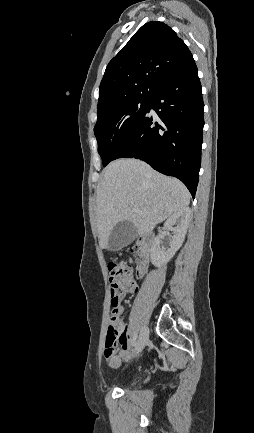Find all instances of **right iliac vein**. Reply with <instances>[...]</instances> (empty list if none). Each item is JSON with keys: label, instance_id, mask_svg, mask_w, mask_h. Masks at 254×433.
<instances>
[{"label": "right iliac vein", "instance_id": "obj_1", "mask_svg": "<svg viewBox=\"0 0 254 433\" xmlns=\"http://www.w3.org/2000/svg\"><path fill=\"white\" fill-rule=\"evenodd\" d=\"M148 339H149V331L148 328L145 327L140 333L137 342L136 352H135L136 354L142 351V349L146 346Z\"/></svg>", "mask_w": 254, "mask_h": 433}]
</instances>
